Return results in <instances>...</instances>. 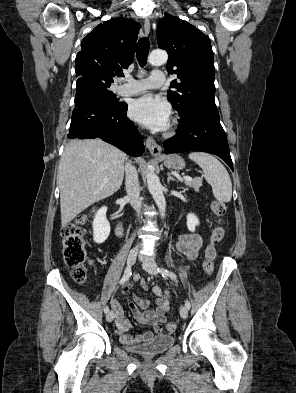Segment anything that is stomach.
<instances>
[{
    "label": "stomach",
    "instance_id": "obj_1",
    "mask_svg": "<svg viewBox=\"0 0 296 393\" xmlns=\"http://www.w3.org/2000/svg\"><path fill=\"white\" fill-rule=\"evenodd\" d=\"M164 164L166 167L174 170H182L185 167L184 159L176 154L164 157Z\"/></svg>",
    "mask_w": 296,
    "mask_h": 393
}]
</instances>
